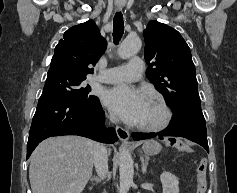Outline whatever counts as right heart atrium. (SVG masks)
I'll use <instances>...</instances> for the list:
<instances>
[{
    "mask_svg": "<svg viewBox=\"0 0 237 193\" xmlns=\"http://www.w3.org/2000/svg\"><path fill=\"white\" fill-rule=\"evenodd\" d=\"M110 119H114L112 115H109Z\"/></svg>",
    "mask_w": 237,
    "mask_h": 193,
    "instance_id": "obj_1",
    "label": "right heart atrium"
}]
</instances>
